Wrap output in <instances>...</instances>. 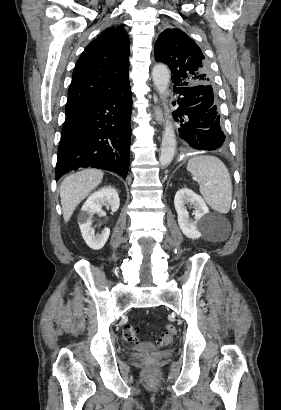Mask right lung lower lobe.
<instances>
[{"label": "right lung lower lobe", "instance_id": "obj_1", "mask_svg": "<svg viewBox=\"0 0 281 410\" xmlns=\"http://www.w3.org/2000/svg\"><path fill=\"white\" fill-rule=\"evenodd\" d=\"M131 111L132 93L127 86L66 113L55 179L81 167L114 171L126 178Z\"/></svg>", "mask_w": 281, "mask_h": 410}]
</instances>
